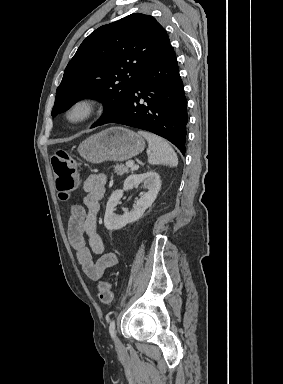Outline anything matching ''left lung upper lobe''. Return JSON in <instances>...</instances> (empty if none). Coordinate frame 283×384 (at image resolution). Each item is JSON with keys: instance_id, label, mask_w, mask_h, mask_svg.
<instances>
[{"instance_id": "left-lung-upper-lobe-1", "label": "left lung upper lobe", "mask_w": 283, "mask_h": 384, "mask_svg": "<svg viewBox=\"0 0 283 384\" xmlns=\"http://www.w3.org/2000/svg\"><path fill=\"white\" fill-rule=\"evenodd\" d=\"M169 44L165 29L150 15L135 13L99 27L68 63L52 116L93 98L104 102V113L92 127L107 121L126 106L136 82Z\"/></svg>"}]
</instances>
